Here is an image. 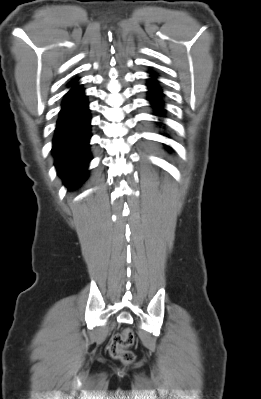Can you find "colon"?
<instances>
[{
	"mask_svg": "<svg viewBox=\"0 0 261 399\" xmlns=\"http://www.w3.org/2000/svg\"><path fill=\"white\" fill-rule=\"evenodd\" d=\"M135 341V333L132 329L126 328L123 331L112 336L108 351L112 358L124 363H131L134 360V354L128 350Z\"/></svg>",
	"mask_w": 261,
	"mask_h": 399,
	"instance_id": "1",
	"label": "colon"
}]
</instances>
